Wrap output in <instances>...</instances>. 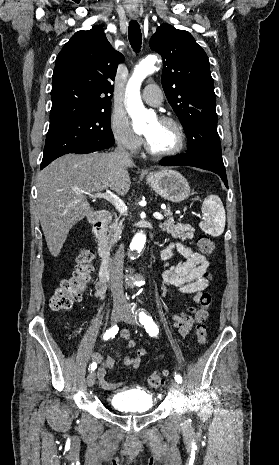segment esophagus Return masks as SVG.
Segmentation results:
<instances>
[{
  "mask_svg": "<svg viewBox=\"0 0 279 465\" xmlns=\"http://www.w3.org/2000/svg\"><path fill=\"white\" fill-rule=\"evenodd\" d=\"M130 17H131L132 19H136V18L138 17V15H137V14H130Z\"/></svg>",
  "mask_w": 279,
  "mask_h": 465,
  "instance_id": "1",
  "label": "esophagus"
}]
</instances>
